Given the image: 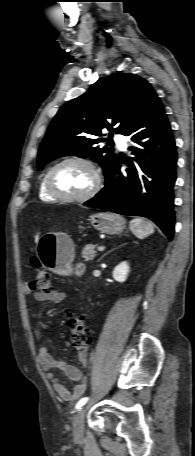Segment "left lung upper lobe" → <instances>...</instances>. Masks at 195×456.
Here are the masks:
<instances>
[{
	"label": "left lung upper lobe",
	"mask_w": 195,
	"mask_h": 456,
	"mask_svg": "<svg viewBox=\"0 0 195 456\" xmlns=\"http://www.w3.org/2000/svg\"><path fill=\"white\" fill-rule=\"evenodd\" d=\"M157 94L144 78L120 73L100 78L83 95L63 105L40 145L37 167L63 156L91 158L103 168L105 177L119 157L103 142L102 130L125 135L135 119L147 108ZM106 141L111 145V139Z\"/></svg>",
	"instance_id": "1"
}]
</instances>
